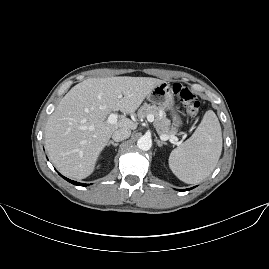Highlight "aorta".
<instances>
[{"label":"aorta","instance_id":"obj_1","mask_svg":"<svg viewBox=\"0 0 269 269\" xmlns=\"http://www.w3.org/2000/svg\"><path fill=\"white\" fill-rule=\"evenodd\" d=\"M137 146L143 151H148L152 146V140L149 137L142 136L138 139Z\"/></svg>","mask_w":269,"mask_h":269}]
</instances>
